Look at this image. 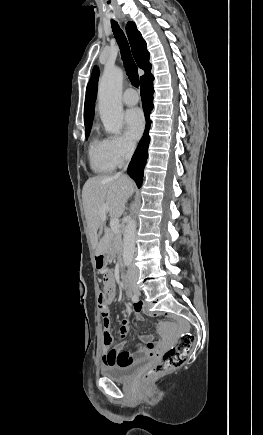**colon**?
<instances>
[{
	"mask_svg": "<svg viewBox=\"0 0 263 435\" xmlns=\"http://www.w3.org/2000/svg\"><path fill=\"white\" fill-rule=\"evenodd\" d=\"M104 299V294L99 295V302ZM117 336L113 333L112 328H103L102 340L100 348L102 350H114ZM194 336L188 332L183 333L180 336L179 342L176 346L168 349L164 354L160 362L148 369L141 377L143 382H150L159 376L183 365L188 358L194 346Z\"/></svg>",
	"mask_w": 263,
	"mask_h": 435,
	"instance_id": "1",
	"label": "colon"
}]
</instances>
